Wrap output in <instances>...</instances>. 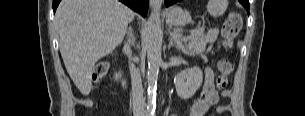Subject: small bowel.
<instances>
[{"label": "small bowel", "mask_w": 305, "mask_h": 116, "mask_svg": "<svg viewBox=\"0 0 305 116\" xmlns=\"http://www.w3.org/2000/svg\"><path fill=\"white\" fill-rule=\"evenodd\" d=\"M222 96L228 97L229 92H223ZM218 98V92L214 85V72L210 68H205L204 84L200 93L189 108V116H207L209 110L217 103ZM226 110V106H218L216 109L218 114H222Z\"/></svg>", "instance_id": "obj_1"}]
</instances>
